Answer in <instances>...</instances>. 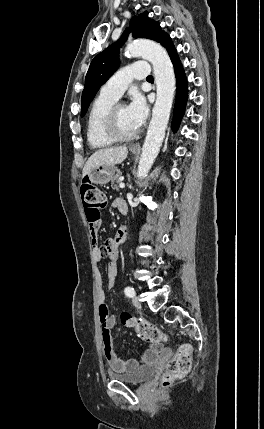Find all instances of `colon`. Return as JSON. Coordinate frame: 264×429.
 <instances>
[{
  "label": "colon",
  "instance_id": "colon-1",
  "mask_svg": "<svg viewBox=\"0 0 264 429\" xmlns=\"http://www.w3.org/2000/svg\"><path fill=\"white\" fill-rule=\"evenodd\" d=\"M80 193L88 222H98L107 204L105 195L88 181L81 184ZM120 321L122 325L133 328L137 335L144 341L162 345L167 340V336L156 326L144 320L137 319L128 312L121 313ZM192 352L191 345L184 344L170 357L167 370L162 378L164 385H168L174 380L188 374L191 367Z\"/></svg>",
  "mask_w": 264,
  "mask_h": 429
}]
</instances>
